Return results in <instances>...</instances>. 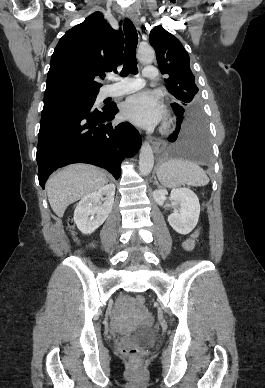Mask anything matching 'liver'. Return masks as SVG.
<instances>
[{
	"label": "liver",
	"instance_id": "1",
	"mask_svg": "<svg viewBox=\"0 0 265 388\" xmlns=\"http://www.w3.org/2000/svg\"><path fill=\"white\" fill-rule=\"evenodd\" d=\"M107 182L105 174L99 168L87 164H72L53 174L46 182L49 204L56 216L63 218L69 204L100 190Z\"/></svg>",
	"mask_w": 265,
	"mask_h": 388
}]
</instances>
